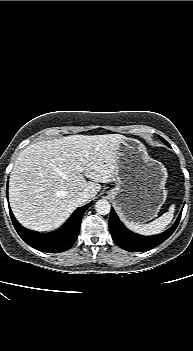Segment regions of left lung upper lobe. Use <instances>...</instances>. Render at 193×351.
<instances>
[{"mask_svg":"<svg viewBox=\"0 0 193 351\" xmlns=\"http://www.w3.org/2000/svg\"><path fill=\"white\" fill-rule=\"evenodd\" d=\"M163 143H165L167 146H170L166 140H164L162 137H160Z\"/></svg>","mask_w":193,"mask_h":351,"instance_id":"1","label":"left lung upper lobe"}]
</instances>
